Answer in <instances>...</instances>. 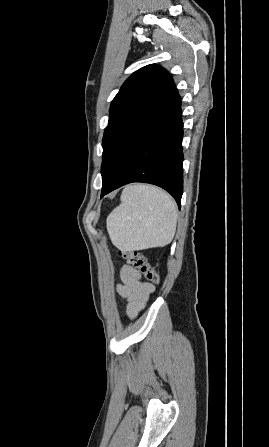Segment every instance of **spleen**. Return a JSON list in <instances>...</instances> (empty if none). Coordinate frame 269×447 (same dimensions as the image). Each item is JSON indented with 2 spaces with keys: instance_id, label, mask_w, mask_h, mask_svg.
Masks as SVG:
<instances>
[{
  "instance_id": "obj_1",
  "label": "spleen",
  "mask_w": 269,
  "mask_h": 447,
  "mask_svg": "<svg viewBox=\"0 0 269 447\" xmlns=\"http://www.w3.org/2000/svg\"><path fill=\"white\" fill-rule=\"evenodd\" d=\"M121 204L109 214V237L121 251L164 247L172 241L177 225V206L156 186H125Z\"/></svg>"
}]
</instances>
